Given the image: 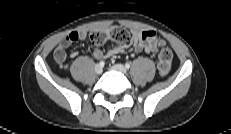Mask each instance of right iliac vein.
I'll list each match as a JSON object with an SVG mask.
<instances>
[{"label":"right iliac vein","mask_w":231,"mask_h":134,"mask_svg":"<svg viewBox=\"0 0 231 134\" xmlns=\"http://www.w3.org/2000/svg\"><path fill=\"white\" fill-rule=\"evenodd\" d=\"M94 69H95V73L98 75L101 74L103 71L102 66H100L99 64H96Z\"/></svg>","instance_id":"obj_1"}]
</instances>
